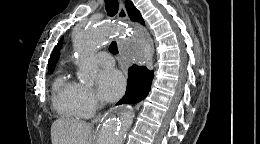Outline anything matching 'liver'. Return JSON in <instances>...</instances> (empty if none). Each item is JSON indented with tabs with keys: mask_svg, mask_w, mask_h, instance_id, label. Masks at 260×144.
<instances>
[{
	"mask_svg": "<svg viewBox=\"0 0 260 144\" xmlns=\"http://www.w3.org/2000/svg\"><path fill=\"white\" fill-rule=\"evenodd\" d=\"M92 126L74 118H59L52 123V144H90Z\"/></svg>",
	"mask_w": 260,
	"mask_h": 144,
	"instance_id": "1",
	"label": "liver"
}]
</instances>
